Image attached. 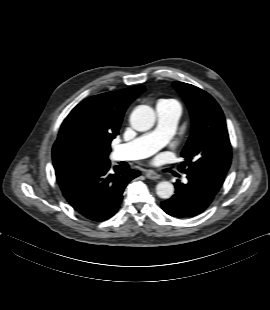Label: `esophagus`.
<instances>
[{
	"mask_svg": "<svg viewBox=\"0 0 270 310\" xmlns=\"http://www.w3.org/2000/svg\"><path fill=\"white\" fill-rule=\"evenodd\" d=\"M145 175L148 179H152V180H156L161 177L158 173L153 172V171H147Z\"/></svg>",
	"mask_w": 270,
	"mask_h": 310,
	"instance_id": "34e87169",
	"label": "esophagus"
}]
</instances>
